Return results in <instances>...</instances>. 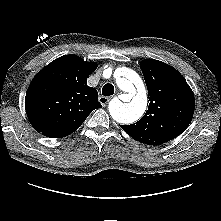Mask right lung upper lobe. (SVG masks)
<instances>
[{"mask_svg": "<svg viewBox=\"0 0 221 221\" xmlns=\"http://www.w3.org/2000/svg\"><path fill=\"white\" fill-rule=\"evenodd\" d=\"M97 66L76 55H65L34 77L25 109L36 131L50 138L65 137L77 130L91 111L102 108L97 90L87 86V78Z\"/></svg>", "mask_w": 221, "mask_h": 221, "instance_id": "obj_1", "label": "right lung upper lobe"}]
</instances>
